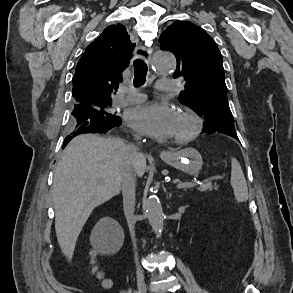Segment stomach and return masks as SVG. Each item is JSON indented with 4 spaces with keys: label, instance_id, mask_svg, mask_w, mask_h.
Returning a JSON list of instances; mask_svg holds the SVG:
<instances>
[{
    "label": "stomach",
    "instance_id": "0dacf381",
    "mask_svg": "<svg viewBox=\"0 0 293 293\" xmlns=\"http://www.w3.org/2000/svg\"><path fill=\"white\" fill-rule=\"evenodd\" d=\"M163 160L170 166L188 175H197L202 168L203 159L201 154L194 148H184L172 152Z\"/></svg>",
    "mask_w": 293,
    "mask_h": 293
}]
</instances>
